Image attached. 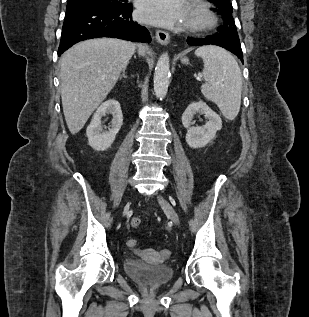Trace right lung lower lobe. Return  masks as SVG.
<instances>
[{"instance_id":"98d812e1","label":"right lung lower lobe","mask_w":309,"mask_h":317,"mask_svg":"<svg viewBox=\"0 0 309 317\" xmlns=\"http://www.w3.org/2000/svg\"><path fill=\"white\" fill-rule=\"evenodd\" d=\"M132 11L130 4L114 8L68 1L58 55L79 41L98 37L151 42L149 31L132 20Z\"/></svg>"}]
</instances>
